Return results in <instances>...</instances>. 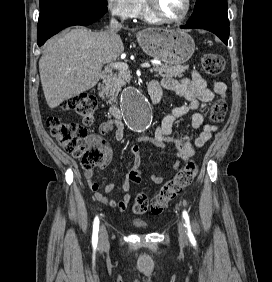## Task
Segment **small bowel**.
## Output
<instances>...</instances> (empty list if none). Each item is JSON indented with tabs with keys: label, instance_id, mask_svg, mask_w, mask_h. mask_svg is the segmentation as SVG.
<instances>
[{
	"label": "small bowel",
	"instance_id": "1",
	"mask_svg": "<svg viewBox=\"0 0 272 282\" xmlns=\"http://www.w3.org/2000/svg\"><path fill=\"white\" fill-rule=\"evenodd\" d=\"M161 87L176 93L183 97L186 103L176 106L157 124L153 134L145 135L136 140L132 145L131 152L134 156V165L139 166L141 163L139 142H150L157 147L165 148L172 145L177 152L175 159L172 161V167L177 169L184 160H188L194 155L195 147L204 146L211 138L212 132L216 126L204 122V117L199 112H194L191 116V125L194 128H201L200 135L191 139L185 131H174L172 122L191 110L196 108H204L210 103L216 95L225 97L227 86L221 81H214L213 88L207 86L206 80L197 72H193L191 78L176 80L173 78H164ZM114 129L115 139L120 141L124 138V125L121 121L107 120L100 126V134H93L88 137L89 143H98L104 150V160L99 166L100 169H105L113 158V150L106 141L105 136ZM93 171L85 170L84 177L87 180L89 187L93 191L97 200L102 203L116 208L120 212H124L131 200V195L128 193L130 188V173L125 174V180L121 184V189L124 194L119 199H112L107 194L114 189L113 184H109L105 188V193L100 191L99 185L93 182ZM151 181L154 184L164 182V177L159 175H151Z\"/></svg>",
	"mask_w": 272,
	"mask_h": 282
}]
</instances>
